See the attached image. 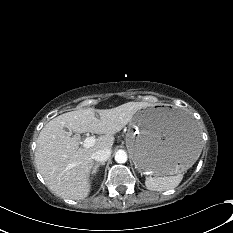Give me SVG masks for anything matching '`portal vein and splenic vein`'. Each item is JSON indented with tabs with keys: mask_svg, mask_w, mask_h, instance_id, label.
I'll return each instance as SVG.
<instances>
[{
	"mask_svg": "<svg viewBox=\"0 0 233 233\" xmlns=\"http://www.w3.org/2000/svg\"><path fill=\"white\" fill-rule=\"evenodd\" d=\"M96 139L93 136L87 137L83 142L84 148H90L95 145Z\"/></svg>",
	"mask_w": 233,
	"mask_h": 233,
	"instance_id": "18ae733b",
	"label": "portal vein and splenic vein"
}]
</instances>
